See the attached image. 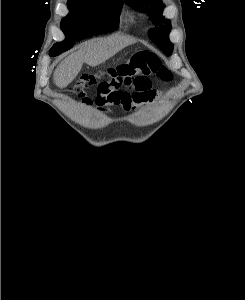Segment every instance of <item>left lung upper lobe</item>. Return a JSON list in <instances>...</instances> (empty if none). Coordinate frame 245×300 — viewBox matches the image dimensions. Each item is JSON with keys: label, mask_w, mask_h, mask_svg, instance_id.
Returning a JSON list of instances; mask_svg holds the SVG:
<instances>
[{"label": "left lung upper lobe", "mask_w": 245, "mask_h": 300, "mask_svg": "<svg viewBox=\"0 0 245 300\" xmlns=\"http://www.w3.org/2000/svg\"><path fill=\"white\" fill-rule=\"evenodd\" d=\"M125 3L140 12L148 11L150 19L157 28L149 30L150 39L162 49L166 55H170L173 50V44L169 40V32L171 31V22L161 15L164 5L161 0H125ZM163 21L165 25H162Z\"/></svg>", "instance_id": "left-lung-upper-lobe-1"}]
</instances>
